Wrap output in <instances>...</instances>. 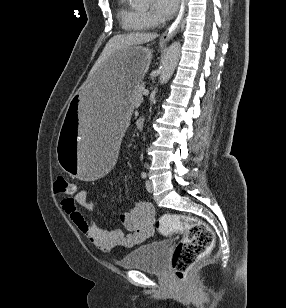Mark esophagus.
I'll return each mask as SVG.
<instances>
[{
  "mask_svg": "<svg viewBox=\"0 0 286 308\" xmlns=\"http://www.w3.org/2000/svg\"><path fill=\"white\" fill-rule=\"evenodd\" d=\"M185 1L186 0H181L180 1V8L178 11V15L175 19V21L173 22V24L169 27V29L162 35L161 40L163 41H169L171 38H173L179 27H180V23L183 17V13H184V7H185Z\"/></svg>",
  "mask_w": 286,
  "mask_h": 308,
  "instance_id": "1",
  "label": "esophagus"
}]
</instances>
